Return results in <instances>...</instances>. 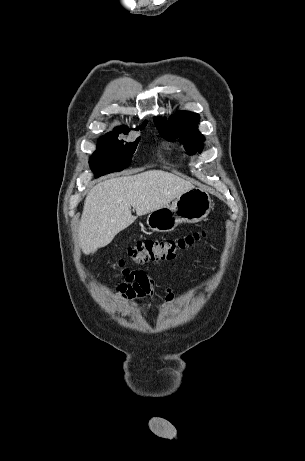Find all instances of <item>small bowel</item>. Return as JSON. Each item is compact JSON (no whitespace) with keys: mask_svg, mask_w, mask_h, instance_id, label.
I'll list each match as a JSON object with an SVG mask.
<instances>
[{"mask_svg":"<svg viewBox=\"0 0 305 461\" xmlns=\"http://www.w3.org/2000/svg\"><path fill=\"white\" fill-rule=\"evenodd\" d=\"M155 284L152 278L142 270L132 272L125 280L116 287L117 297L125 302L146 301L154 293ZM193 295V292L191 293ZM174 294L172 289H166V296L162 304L163 307L172 303ZM133 307V306H132Z\"/></svg>","mask_w":305,"mask_h":461,"instance_id":"small-bowel-1","label":"small bowel"}]
</instances>
